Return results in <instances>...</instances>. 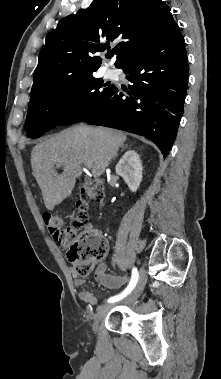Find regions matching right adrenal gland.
I'll list each match as a JSON object with an SVG mask.
<instances>
[{"label":"right adrenal gland","mask_w":221,"mask_h":379,"mask_svg":"<svg viewBox=\"0 0 221 379\" xmlns=\"http://www.w3.org/2000/svg\"><path fill=\"white\" fill-rule=\"evenodd\" d=\"M125 148H126V146H123L122 149H121V151L124 150ZM117 155H118V154L116 153L115 156H114V158H116Z\"/></svg>","instance_id":"1"}]
</instances>
